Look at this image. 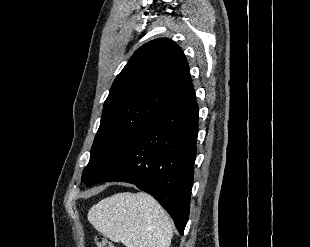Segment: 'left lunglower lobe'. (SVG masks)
Wrapping results in <instances>:
<instances>
[{"mask_svg": "<svg viewBox=\"0 0 310 247\" xmlns=\"http://www.w3.org/2000/svg\"><path fill=\"white\" fill-rule=\"evenodd\" d=\"M198 111L192 88L165 110L98 181L127 182L149 193L171 215L181 235L189 217Z\"/></svg>", "mask_w": 310, "mask_h": 247, "instance_id": "left-lung-lower-lobe-1", "label": "left lung lower lobe"}]
</instances>
